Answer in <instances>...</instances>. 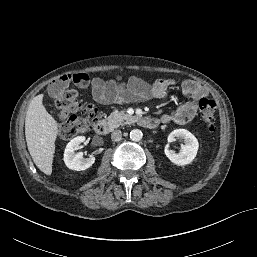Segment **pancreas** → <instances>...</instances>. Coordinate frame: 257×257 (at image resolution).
<instances>
[{"instance_id": "obj_1", "label": "pancreas", "mask_w": 257, "mask_h": 257, "mask_svg": "<svg viewBox=\"0 0 257 257\" xmlns=\"http://www.w3.org/2000/svg\"><path fill=\"white\" fill-rule=\"evenodd\" d=\"M108 124L113 128H118L120 126H124L129 124L135 120L134 116L126 114L125 112L121 111H114L112 112L108 118Z\"/></svg>"}]
</instances>
